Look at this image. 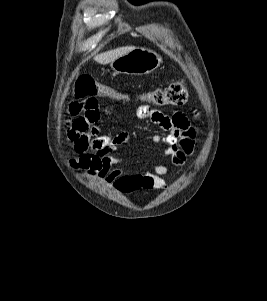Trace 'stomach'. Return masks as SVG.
I'll use <instances>...</instances> for the list:
<instances>
[{"label": "stomach", "mask_w": 267, "mask_h": 301, "mask_svg": "<svg viewBox=\"0 0 267 301\" xmlns=\"http://www.w3.org/2000/svg\"><path fill=\"white\" fill-rule=\"evenodd\" d=\"M162 63L158 53L146 48H135L110 63L116 73L146 75L156 70Z\"/></svg>", "instance_id": "1"}]
</instances>
